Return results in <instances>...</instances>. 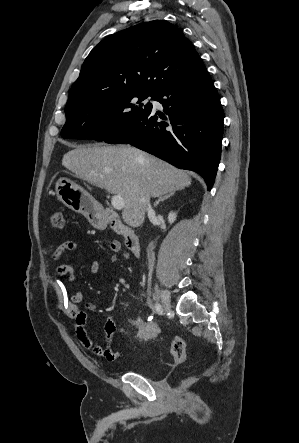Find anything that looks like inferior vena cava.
Here are the masks:
<instances>
[{
  "label": "inferior vena cava",
  "mask_w": 299,
  "mask_h": 443,
  "mask_svg": "<svg viewBox=\"0 0 299 443\" xmlns=\"http://www.w3.org/2000/svg\"><path fill=\"white\" fill-rule=\"evenodd\" d=\"M146 206H147L146 210L148 211V213L151 212L152 211V206L150 204V198L146 199Z\"/></svg>",
  "instance_id": "obj_1"
}]
</instances>
